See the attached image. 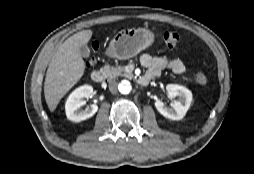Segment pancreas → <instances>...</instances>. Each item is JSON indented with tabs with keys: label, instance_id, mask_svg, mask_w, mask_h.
<instances>
[{
	"label": "pancreas",
	"instance_id": "obj_1",
	"mask_svg": "<svg viewBox=\"0 0 254 174\" xmlns=\"http://www.w3.org/2000/svg\"><path fill=\"white\" fill-rule=\"evenodd\" d=\"M101 72L105 74L108 79L116 78L117 76H125L131 77V73H127L125 70V66L111 67L109 65H105L101 68Z\"/></svg>",
	"mask_w": 254,
	"mask_h": 174
}]
</instances>
